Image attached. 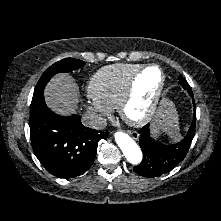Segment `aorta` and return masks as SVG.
<instances>
[{
  "label": "aorta",
  "mask_w": 221,
  "mask_h": 221,
  "mask_svg": "<svg viewBox=\"0 0 221 221\" xmlns=\"http://www.w3.org/2000/svg\"><path fill=\"white\" fill-rule=\"evenodd\" d=\"M115 141L122 150L126 159L131 164H139L142 160V152L137 143L126 133L116 132Z\"/></svg>",
  "instance_id": "obj_1"
}]
</instances>
